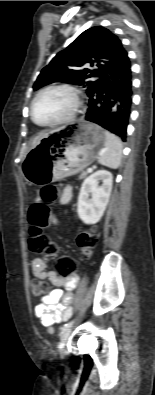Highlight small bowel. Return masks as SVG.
<instances>
[{
	"label": "small bowel",
	"mask_w": 155,
	"mask_h": 395,
	"mask_svg": "<svg viewBox=\"0 0 155 395\" xmlns=\"http://www.w3.org/2000/svg\"><path fill=\"white\" fill-rule=\"evenodd\" d=\"M70 198L71 191L66 188L62 195V202L66 203ZM31 267L36 277L46 279L57 287L45 295L35 307L36 317L46 327L67 320L71 315L69 304L73 299L72 290L78 281L77 273L76 275H58L56 271L49 268L42 257H35L31 262Z\"/></svg>",
	"instance_id": "obj_1"
}]
</instances>
